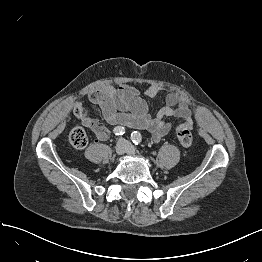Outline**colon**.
<instances>
[{
	"mask_svg": "<svg viewBox=\"0 0 262 262\" xmlns=\"http://www.w3.org/2000/svg\"><path fill=\"white\" fill-rule=\"evenodd\" d=\"M176 136L179 143L184 147H189L192 144V134L190 126L186 123H180L176 126ZM70 144L76 149H83L88 143L86 131L80 127H74L69 133Z\"/></svg>",
	"mask_w": 262,
	"mask_h": 262,
	"instance_id": "obj_1",
	"label": "colon"
}]
</instances>
